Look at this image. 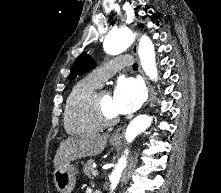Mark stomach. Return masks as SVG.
Listing matches in <instances>:
<instances>
[{
	"label": "stomach",
	"instance_id": "0dacf381",
	"mask_svg": "<svg viewBox=\"0 0 221 193\" xmlns=\"http://www.w3.org/2000/svg\"><path fill=\"white\" fill-rule=\"evenodd\" d=\"M112 145H118L120 142L116 140H110ZM78 171L75 166L70 163H66L59 166L54 171L55 187L60 193H71L76 183V175Z\"/></svg>",
	"mask_w": 221,
	"mask_h": 193
}]
</instances>
